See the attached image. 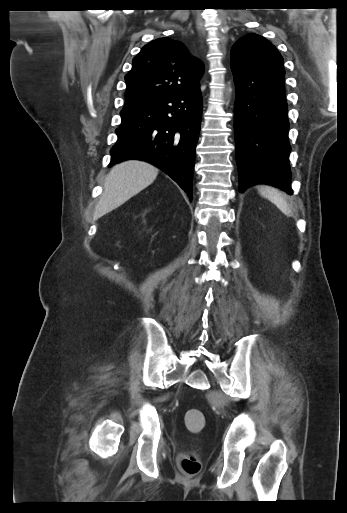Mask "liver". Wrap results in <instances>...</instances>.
I'll use <instances>...</instances> for the list:
<instances>
[{
	"mask_svg": "<svg viewBox=\"0 0 347 513\" xmlns=\"http://www.w3.org/2000/svg\"><path fill=\"white\" fill-rule=\"evenodd\" d=\"M158 171L155 166L140 160L115 165L105 179L104 192L94 217H102L147 188L156 179Z\"/></svg>",
	"mask_w": 347,
	"mask_h": 513,
	"instance_id": "obj_1",
	"label": "liver"
}]
</instances>
